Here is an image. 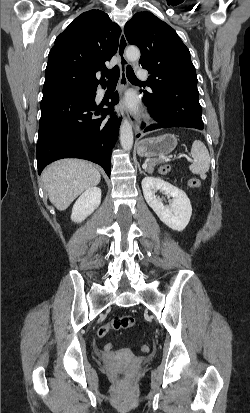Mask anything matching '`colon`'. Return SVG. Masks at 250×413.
Listing matches in <instances>:
<instances>
[{
	"mask_svg": "<svg viewBox=\"0 0 250 413\" xmlns=\"http://www.w3.org/2000/svg\"><path fill=\"white\" fill-rule=\"evenodd\" d=\"M172 170V167L170 165H163L159 168V172L161 174H167ZM201 180L199 178H191L188 181V185L191 188H199L201 187ZM136 323V319L131 316V315H124V316H117L115 317L112 321H108V322H101L99 324V330H98V334L101 337L107 336L109 331L111 329L114 330H119V329H127L130 327H133ZM115 343L112 341H107L103 343V349L105 352H110L112 349L115 348ZM141 351L144 353H148L150 351V346L149 345H142L141 346ZM117 378L119 380H125L126 379V375L124 372L122 371H118L117 372Z\"/></svg>",
	"mask_w": 250,
	"mask_h": 413,
	"instance_id": "5ec220e1",
	"label": "colon"
}]
</instances>
